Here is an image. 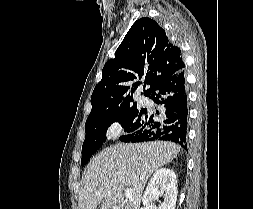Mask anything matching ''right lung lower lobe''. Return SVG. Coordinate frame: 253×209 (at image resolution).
I'll return each instance as SVG.
<instances>
[{
    "label": "right lung lower lobe",
    "instance_id": "right-lung-lower-lobe-1",
    "mask_svg": "<svg viewBox=\"0 0 253 209\" xmlns=\"http://www.w3.org/2000/svg\"><path fill=\"white\" fill-rule=\"evenodd\" d=\"M165 108L163 114L148 116L139 130L123 142L172 141L187 150V94L184 71L168 78L150 97Z\"/></svg>",
    "mask_w": 253,
    "mask_h": 209
}]
</instances>
